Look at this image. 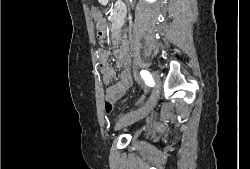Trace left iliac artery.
Instances as JSON below:
<instances>
[{
    "instance_id": "44dca946",
    "label": "left iliac artery",
    "mask_w": 250,
    "mask_h": 169,
    "mask_svg": "<svg viewBox=\"0 0 250 169\" xmlns=\"http://www.w3.org/2000/svg\"><path fill=\"white\" fill-rule=\"evenodd\" d=\"M140 74H141V77L144 79L145 83L148 86H153L154 85L153 78H152L151 74L147 70H142L140 72Z\"/></svg>"
}]
</instances>
